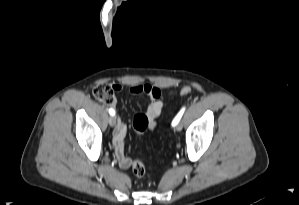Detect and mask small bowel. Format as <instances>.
<instances>
[{"label": "small bowel", "mask_w": 299, "mask_h": 205, "mask_svg": "<svg viewBox=\"0 0 299 205\" xmlns=\"http://www.w3.org/2000/svg\"><path fill=\"white\" fill-rule=\"evenodd\" d=\"M116 90H120L121 86L114 85ZM132 94H146L149 97V104L145 112V116L148 118V128L154 129L157 123V119L160 116L164 107L163 93L160 88L150 85L141 84L134 85L130 88ZM173 91H169L166 95L170 96ZM127 132V126L124 122L120 121L113 134V146L115 157L118 165L122 169H127L131 166V159L124 152V138Z\"/></svg>", "instance_id": "obj_1"}]
</instances>
